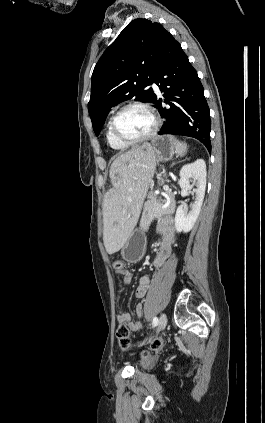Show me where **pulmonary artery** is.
<instances>
[{"label":"pulmonary artery","instance_id":"e3ab8cb5","mask_svg":"<svg viewBox=\"0 0 265 423\" xmlns=\"http://www.w3.org/2000/svg\"><path fill=\"white\" fill-rule=\"evenodd\" d=\"M152 87L156 93H159V88L156 84H153Z\"/></svg>","mask_w":265,"mask_h":423}]
</instances>
